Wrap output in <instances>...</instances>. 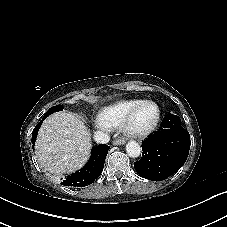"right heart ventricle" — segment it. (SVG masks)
Instances as JSON below:
<instances>
[{"label":"right heart ventricle","instance_id":"1","mask_svg":"<svg viewBox=\"0 0 227 227\" xmlns=\"http://www.w3.org/2000/svg\"><path fill=\"white\" fill-rule=\"evenodd\" d=\"M142 100H120L101 109L96 116L99 126H117L128 115V113Z\"/></svg>","mask_w":227,"mask_h":227}]
</instances>
